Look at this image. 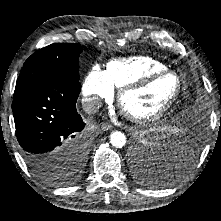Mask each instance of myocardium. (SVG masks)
Returning <instances> with one entry per match:
<instances>
[{
	"label": "myocardium",
	"instance_id": "f54148a6",
	"mask_svg": "<svg viewBox=\"0 0 221 221\" xmlns=\"http://www.w3.org/2000/svg\"><path fill=\"white\" fill-rule=\"evenodd\" d=\"M164 76H171L175 79L176 81V89L170 100L163 105L160 109H158L156 112L152 114H147V115H136L133 114L132 112L128 111L123 103L124 97L136 90L143 89L146 86H148L150 83H152L154 80L164 77ZM182 91V80L178 76V74L172 70H163V71H156L149 73L142 78L131 82L129 84L124 85L123 87L120 88L118 95H117V105L118 108L120 109L121 113L130 121L134 123H147V122H154L159 119H161L163 116H165L170 109L175 105L177 102L180 94Z\"/></svg>",
	"mask_w": 221,
	"mask_h": 221
}]
</instances>
